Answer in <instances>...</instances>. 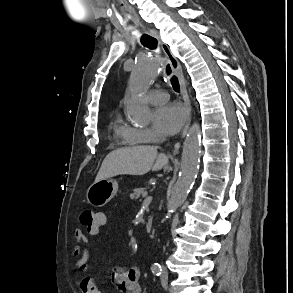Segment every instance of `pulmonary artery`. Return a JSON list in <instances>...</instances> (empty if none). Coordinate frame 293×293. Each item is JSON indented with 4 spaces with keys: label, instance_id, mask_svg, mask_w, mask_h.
Listing matches in <instances>:
<instances>
[{
    "label": "pulmonary artery",
    "instance_id": "e3ab8cb5",
    "mask_svg": "<svg viewBox=\"0 0 293 293\" xmlns=\"http://www.w3.org/2000/svg\"><path fill=\"white\" fill-rule=\"evenodd\" d=\"M146 99L152 104H163L169 99V95L161 90H151L146 94Z\"/></svg>",
    "mask_w": 293,
    "mask_h": 293
}]
</instances>
